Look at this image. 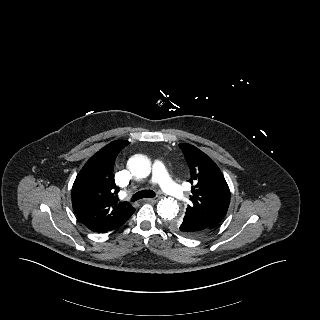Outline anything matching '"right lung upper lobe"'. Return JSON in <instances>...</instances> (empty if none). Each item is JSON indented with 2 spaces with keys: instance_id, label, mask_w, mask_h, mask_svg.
Returning a JSON list of instances; mask_svg holds the SVG:
<instances>
[{
  "instance_id": "right-lung-upper-lobe-1",
  "label": "right lung upper lobe",
  "mask_w": 320,
  "mask_h": 320,
  "mask_svg": "<svg viewBox=\"0 0 320 320\" xmlns=\"http://www.w3.org/2000/svg\"><path fill=\"white\" fill-rule=\"evenodd\" d=\"M128 144L117 140L104 146L86 162L74 181L73 210L91 231L123 223L135 211L128 202H119L113 174L116 156Z\"/></svg>"
}]
</instances>
